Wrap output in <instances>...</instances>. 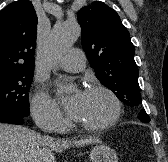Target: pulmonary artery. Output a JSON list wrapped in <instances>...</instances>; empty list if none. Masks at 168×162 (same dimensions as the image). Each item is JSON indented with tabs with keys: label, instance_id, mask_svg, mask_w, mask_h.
Listing matches in <instances>:
<instances>
[{
	"label": "pulmonary artery",
	"instance_id": "pulmonary-artery-1",
	"mask_svg": "<svg viewBox=\"0 0 168 162\" xmlns=\"http://www.w3.org/2000/svg\"><path fill=\"white\" fill-rule=\"evenodd\" d=\"M85 65V54L78 48L70 49L59 61V66L68 72H79L84 69Z\"/></svg>",
	"mask_w": 168,
	"mask_h": 162
}]
</instances>
